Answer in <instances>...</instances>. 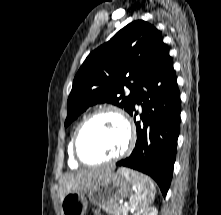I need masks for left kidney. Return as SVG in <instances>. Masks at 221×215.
I'll return each instance as SVG.
<instances>
[{"instance_id": "obj_1", "label": "left kidney", "mask_w": 221, "mask_h": 215, "mask_svg": "<svg viewBox=\"0 0 221 215\" xmlns=\"http://www.w3.org/2000/svg\"><path fill=\"white\" fill-rule=\"evenodd\" d=\"M158 211L156 208L154 207H148L145 208L143 210L138 211L136 214L134 215H157Z\"/></svg>"}]
</instances>
